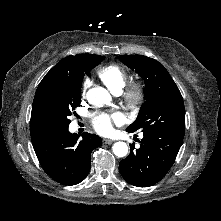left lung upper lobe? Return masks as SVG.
Masks as SVG:
<instances>
[{
	"mask_svg": "<svg viewBox=\"0 0 221 221\" xmlns=\"http://www.w3.org/2000/svg\"><path fill=\"white\" fill-rule=\"evenodd\" d=\"M145 81V102L127 130L184 137L185 109L181 93L165 67L143 55L118 56Z\"/></svg>",
	"mask_w": 221,
	"mask_h": 221,
	"instance_id": "1",
	"label": "left lung upper lobe"
}]
</instances>
